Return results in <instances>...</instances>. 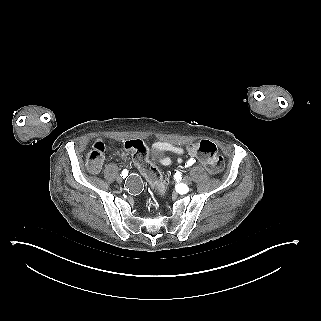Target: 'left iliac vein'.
I'll list each match as a JSON object with an SVG mask.
<instances>
[{
	"mask_svg": "<svg viewBox=\"0 0 321 321\" xmlns=\"http://www.w3.org/2000/svg\"><path fill=\"white\" fill-rule=\"evenodd\" d=\"M191 182H192V178L189 175L184 176L182 179V183L184 184L188 185V184H191Z\"/></svg>",
	"mask_w": 321,
	"mask_h": 321,
	"instance_id": "obj_1",
	"label": "left iliac vein"
}]
</instances>
